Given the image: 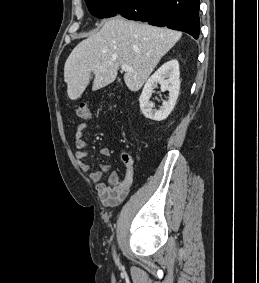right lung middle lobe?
Returning a JSON list of instances; mask_svg holds the SVG:
<instances>
[{
	"label": "right lung middle lobe",
	"instance_id": "right-lung-middle-lobe-1",
	"mask_svg": "<svg viewBox=\"0 0 259 283\" xmlns=\"http://www.w3.org/2000/svg\"><path fill=\"white\" fill-rule=\"evenodd\" d=\"M112 0H86L89 11L97 18L111 17L114 13L111 7Z\"/></svg>",
	"mask_w": 259,
	"mask_h": 283
}]
</instances>
